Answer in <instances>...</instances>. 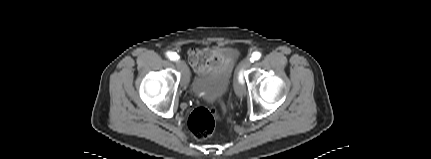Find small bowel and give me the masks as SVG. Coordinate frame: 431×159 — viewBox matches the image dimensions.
Here are the masks:
<instances>
[{
    "label": "small bowel",
    "mask_w": 431,
    "mask_h": 159,
    "mask_svg": "<svg viewBox=\"0 0 431 159\" xmlns=\"http://www.w3.org/2000/svg\"><path fill=\"white\" fill-rule=\"evenodd\" d=\"M189 64L195 73L208 74L223 69L229 64V56L219 47L191 49L188 52Z\"/></svg>",
    "instance_id": "small-bowel-1"
}]
</instances>
